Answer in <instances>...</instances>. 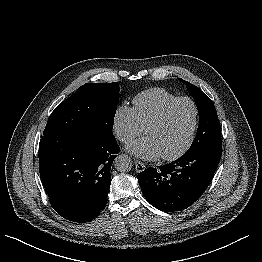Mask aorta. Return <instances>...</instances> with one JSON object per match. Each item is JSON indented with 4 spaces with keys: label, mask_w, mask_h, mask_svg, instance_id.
Segmentation results:
<instances>
[{
    "label": "aorta",
    "mask_w": 262,
    "mask_h": 262,
    "mask_svg": "<svg viewBox=\"0 0 262 262\" xmlns=\"http://www.w3.org/2000/svg\"><path fill=\"white\" fill-rule=\"evenodd\" d=\"M114 165L119 172H127L132 168V159L126 154H121L115 159Z\"/></svg>",
    "instance_id": "aorta-1"
}]
</instances>
